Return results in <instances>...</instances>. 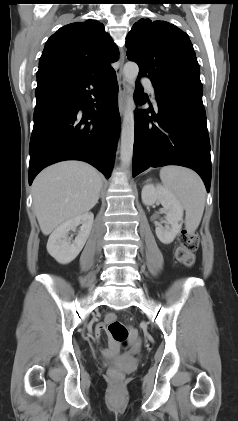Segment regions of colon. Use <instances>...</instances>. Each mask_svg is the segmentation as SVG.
Here are the masks:
<instances>
[{
  "instance_id": "5ec220e1",
  "label": "colon",
  "mask_w": 238,
  "mask_h": 421,
  "mask_svg": "<svg viewBox=\"0 0 238 421\" xmlns=\"http://www.w3.org/2000/svg\"><path fill=\"white\" fill-rule=\"evenodd\" d=\"M199 245V237L195 231L183 230L179 236V245L175 251L177 261L187 267H191L195 262V252ZM105 328L108 330L113 340L119 343L123 348L128 345L129 332L127 327L119 321L114 315L107 318ZM109 377L114 384L123 381V373L116 367L109 370Z\"/></svg>"
}]
</instances>
